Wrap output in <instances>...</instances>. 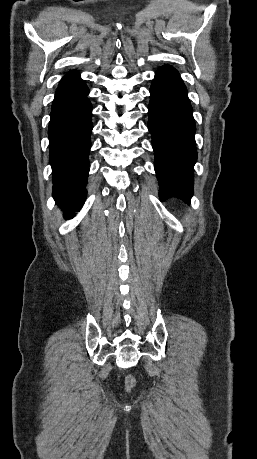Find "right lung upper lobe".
<instances>
[{"label":"right lung upper lobe","mask_w":257,"mask_h":459,"mask_svg":"<svg viewBox=\"0 0 257 459\" xmlns=\"http://www.w3.org/2000/svg\"><path fill=\"white\" fill-rule=\"evenodd\" d=\"M75 73H76L75 71H74V72L71 71V72H69L67 75L75 74Z\"/></svg>","instance_id":"right-lung-upper-lobe-1"}]
</instances>
